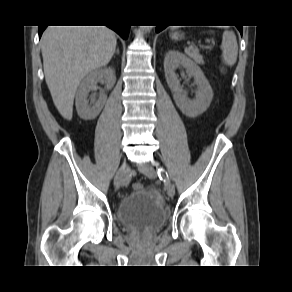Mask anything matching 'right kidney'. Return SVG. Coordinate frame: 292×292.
I'll list each match as a JSON object with an SVG mask.
<instances>
[{"label":"right kidney","mask_w":292,"mask_h":292,"mask_svg":"<svg viewBox=\"0 0 292 292\" xmlns=\"http://www.w3.org/2000/svg\"><path fill=\"white\" fill-rule=\"evenodd\" d=\"M103 79L107 89H111L116 82L115 70L111 67H105L91 71L80 83L76 94V109L78 115L84 120L95 119L101 112L106 95L100 94L99 99L91 98L90 104L88 94L96 88L97 82Z\"/></svg>","instance_id":"right-kidney-1"}]
</instances>
